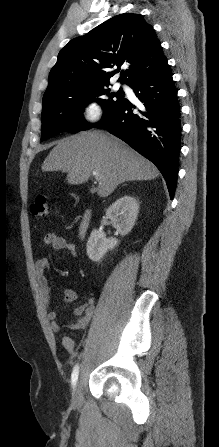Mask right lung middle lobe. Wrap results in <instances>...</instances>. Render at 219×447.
<instances>
[{
	"mask_svg": "<svg viewBox=\"0 0 219 447\" xmlns=\"http://www.w3.org/2000/svg\"><path fill=\"white\" fill-rule=\"evenodd\" d=\"M109 85L96 87L83 95H52L43 98L41 140L61 132L90 129L91 125L82 116L89 102H98L103 108L104 116L126 99L121 88L117 93H110Z\"/></svg>",
	"mask_w": 219,
	"mask_h": 447,
	"instance_id": "dd1d6c3e",
	"label": "right lung middle lobe"
}]
</instances>
